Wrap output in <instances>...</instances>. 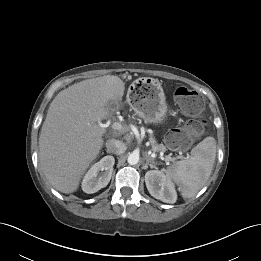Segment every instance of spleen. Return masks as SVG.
Returning <instances> with one entry per match:
<instances>
[{
	"instance_id": "1",
	"label": "spleen",
	"mask_w": 261,
	"mask_h": 261,
	"mask_svg": "<svg viewBox=\"0 0 261 261\" xmlns=\"http://www.w3.org/2000/svg\"><path fill=\"white\" fill-rule=\"evenodd\" d=\"M216 157V141L206 137L191 155L166 170V176L179 186L183 198L194 197L210 177Z\"/></svg>"
}]
</instances>
